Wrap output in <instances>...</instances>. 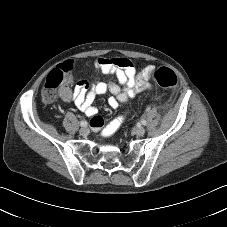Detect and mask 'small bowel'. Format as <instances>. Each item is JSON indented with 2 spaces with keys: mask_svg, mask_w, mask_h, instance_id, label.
Segmentation results:
<instances>
[{
  "mask_svg": "<svg viewBox=\"0 0 227 227\" xmlns=\"http://www.w3.org/2000/svg\"><path fill=\"white\" fill-rule=\"evenodd\" d=\"M66 64L68 63H63L61 66ZM94 67L101 74L113 76L112 79L109 82L81 80L74 85L61 88L59 92L62 100L74 103L89 117L97 115L93 102L100 94L109 92L112 95L108 100L109 105L116 108L143 91H152V86L148 82L154 70L152 65H147L137 72L134 64L128 59L100 57L96 59ZM115 121L107 124L102 122V125L95 130L108 135Z\"/></svg>",
  "mask_w": 227,
  "mask_h": 227,
  "instance_id": "small-bowel-1",
  "label": "small bowel"
}]
</instances>
